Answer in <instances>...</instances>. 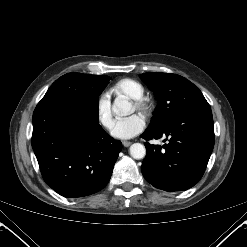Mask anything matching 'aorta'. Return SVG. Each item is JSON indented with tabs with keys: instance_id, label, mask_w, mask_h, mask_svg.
Here are the masks:
<instances>
[{
	"instance_id": "obj_1",
	"label": "aorta",
	"mask_w": 247,
	"mask_h": 247,
	"mask_svg": "<svg viewBox=\"0 0 247 247\" xmlns=\"http://www.w3.org/2000/svg\"><path fill=\"white\" fill-rule=\"evenodd\" d=\"M113 112L118 116H126L132 113L131 103L124 98H116L113 104ZM130 155L134 159H142L146 155L145 146L141 143H134L130 147Z\"/></svg>"
}]
</instances>
